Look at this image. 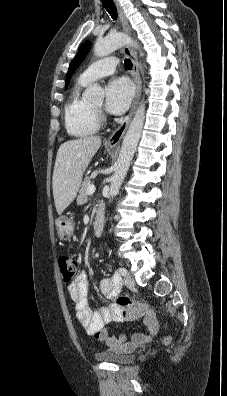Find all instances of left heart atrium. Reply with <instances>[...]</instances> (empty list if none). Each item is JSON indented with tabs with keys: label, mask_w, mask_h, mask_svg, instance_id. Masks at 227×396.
I'll use <instances>...</instances> for the list:
<instances>
[{
	"label": "left heart atrium",
	"mask_w": 227,
	"mask_h": 396,
	"mask_svg": "<svg viewBox=\"0 0 227 396\" xmlns=\"http://www.w3.org/2000/svg\"><path fill=\"white\" fill-rule=\"evenodd\" d=\"M133 97V87L126 78H115L106 89L105 106L112 114H122L129 107Z\"/></svg>",
	"instance_id": "1"
}]
</instances>
